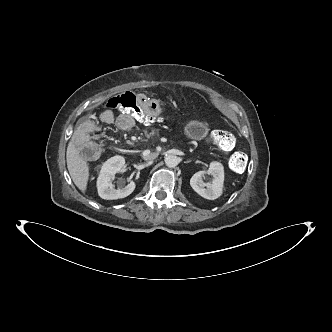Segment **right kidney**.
Returning a JSON list of instances; mask_svg holds the SVG:
<instances>
[{"label": "right kidney", "mask_w": 332, "mask_h": 332, "mask_svg": "<svg viewBox=\"0 0 332 332\" xmlns=\"http://www.w3.org/2000/svg\"><path fill=\"white\" fill-rule=\"evenodd\" d=\"M125 164L122 156H114L103 163L97 178L98 194L102 199L115 200L129 196L135 189V182L130 181L128 185L121 189H114L112 179L115 174L120 172Z\"/></svg>", "instance_id": "right-kidney-1"}]
</instances>
